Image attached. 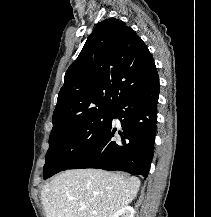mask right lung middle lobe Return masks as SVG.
Returning <instances> with one entry per match:
<instances>
[{
	"instance_id": "dd1d6c3e",
	"label": "right lung middle lobe",
	"mask_w": 211,
	"mask_h": 217,
	"mask_svg": "<svg viewBox=\"0 0 211 217\" xmlns=\"http://www.w3.org/2000/svg\"><path fill=\"white\" fill-rule=\"evenodd\" d=\"M113 113V109L96 110L54 127L43 168L44 179L68 169L84 157L107 132Z\"/></svg>"
}]
</instances>
